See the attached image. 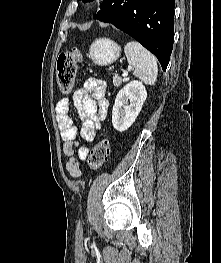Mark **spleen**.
<instances>
[{"mask_svg":"<svg viewBox=\"0 0 221 263\" xmlns=\"http://www.w3.org/2000/svg\"><path fill=\"white\" fill-rule=\"evenodd\" d=\"M125 55L133 69V75L147 85H154L158 75L155 56L137 41L126 44Z\"/></svg>","mask_w":221,"mask_h":263,"instance_id":"spleen-1","label":"spleen"}]
</instances>
